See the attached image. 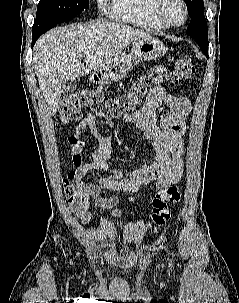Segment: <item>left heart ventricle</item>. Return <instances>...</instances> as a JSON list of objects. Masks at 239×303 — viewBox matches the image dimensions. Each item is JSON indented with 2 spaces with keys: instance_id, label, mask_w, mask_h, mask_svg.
Listing matches in <instances>:
<instances>
[{
  "instance_id": "b2bd125f",
  "label": "left heart ventricle",
  "mask_w": 239,
  "mask_h": 303,
  "mask_svg": "<svg viewBox=\"0 0 239 303\" xmlns=\"http://www.w3.org/2000/svg\"><path fill=\"white\" fill-rule=\"evenodd\" d=\"M165 17L172 23H180L183 20L184 12L178 0H167L163 7Z\"/></svg>"
}]
</instances>
